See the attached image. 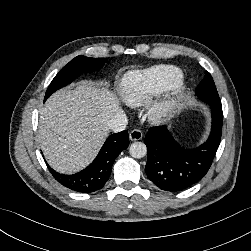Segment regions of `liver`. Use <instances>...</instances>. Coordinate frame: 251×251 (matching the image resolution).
Masks as SVG:
<instances>
[{"label":"liver","mask_w":251,"mask_h":251,"mask_svg":"<svg viewBox=\"0 0 251 251\" xmlns=\"http://www.w3.org/2000/svg\"><path fill=\"white\" fill-rule=\"evenodd\" d=\"M121 111L112 92L89 82L54 93L39 120L41 148L49 165L67 174L85 168L108 135V121Z\"/></svg>","instance_id":"6515ba94"}]
</instances>
